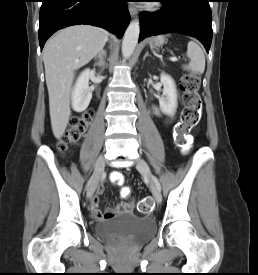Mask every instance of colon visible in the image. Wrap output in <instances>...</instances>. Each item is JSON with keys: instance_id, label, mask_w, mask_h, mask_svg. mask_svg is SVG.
<instances>
[{"instance_id": "5ec220e1", "label": "colon", "mask_w": 258, "mask_h": 275, "mask_svg": "<svg viewBox=\"0 0 258 275\" xmlns=\"http://www.w3.org/2000/svg\"><path fill=\"white\" fill-rule=\"evenodd\" d=\"M180 89L183 93L184 109L181 121L176 127V141L184 151H187L191 143L189 134L197 126L201 118L202 101L198 92L199 77L193 73L184 74L180 80ZM92 116L93 113L89 110L71 118L69 127L59 142L60 150H66L70 145H74L80 141L87 130ZM111 181L118 186H123L125 181L123 173H112ZM121 194L124 197L128 196L130 189L122 187ZM138 209L142 213L152 211V199L150 197L142 199L138 205Z\"/></svg>"}]
</instances>
